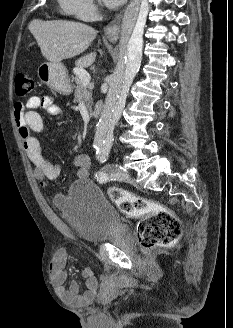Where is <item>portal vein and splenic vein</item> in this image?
<instances>
[{
    "instance_id": "obj_1",
    "label": "portal vein and splenic vein",
    "mask_w": 233,
    "mask_h": 328,
    "mask_svg": "<svg viewBox=\"0 0 233 328\" xmlns=\"http://www.w3.org/2000/svg\"><path fill=\"white\" fill-rule=\"evenodd\" d=\"M73 72L79 77V79L82 81L83 85H88L90 82V75L86 71L80 68H75Z\"/></svg>"
}]
</instances>
